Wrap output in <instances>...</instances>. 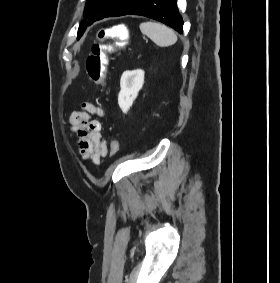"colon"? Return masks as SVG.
I'll list each match as a JSON object with an SVG mask.
<instances>
[{
	"instance_id": "1",
	"label": "colon",
	"mask_w": 280,
	"mask_h": 283,
	"mask_svg": "<svg viewBox=\"0 0 280 283\" xmlns=\"http://www.w3.org/2000/svg\"><path fill=\"white\" fill-rule=\"evenodd\" d=\"M129 25H115L103 27L98 31L97 40L92 44L91 51L86 60V69L89 77L97 85L104 86L106 84L107 69L109 65V57L106 54L107 47L104 46L103 40L113 39L117 42L116 46L121 47V42H128L130 33ZM119 150V143L113 146V155Z\"/></svg>"
}]
</instances>
